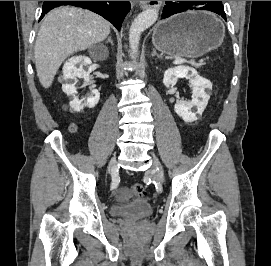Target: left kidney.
Returning <instances> with one entry per match:
<instances>
[{
    "mask_svg": "<svg viewBox=\"0 0 271 266\" xmlns=\"http://www.w3.org/2000/svg\"><path fill=\"white\" fill-rule=\"evenodd\" d=\"M178 78H186L189 80L192 87V99L188 102L177 100L174 106L175 112L185 122L196 121L198 116L202 115L208 104L210 93L206 92V90H211L212 84L209 80L199 76L193 68L182 66L166 70L163 84L166 87L174 86Z\"/></svg>",
    "mask_w": 271,
    "mask_h": 266,
    "instance_id": "left-kidney-1",
    "label": "left kidney"
}]
</instances>
